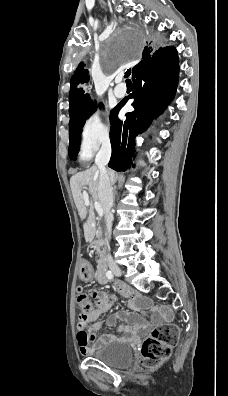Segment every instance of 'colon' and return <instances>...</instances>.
I'll list each match as a JSON object with an SVG mask.
<instances>
[{"label": "colon", "mask_w": 228, "mask_h": 396, "mask_svg": "<svg viewBox=\"0 0 228 396\" xmlns=\"http://www.w3.org/2000/svg\"><path fill=\"white\" fill-rule=\"evenodd\" d=\"M77 305L79 308V326L85 327L90 315L96 309V303L78 288ZM179 328L175 324H161L155 327L141 345V363L146 367H156L171 354L178 342Z\"/></svg>", "instance_id": "5ec220e1"}]
</instances>
